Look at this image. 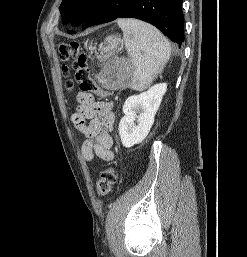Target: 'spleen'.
<instances>
[{"label":"spleen","mask_w":247,"mask_h":257,"mask_svg":"<svg viewBox=\"0 0 247 257\" xmlns=\"http://www.w3.org/2000/svg\"><path fill=\"white\" fill-rule=\"evenodd\" d=\"M117 23L134 69L131 86L143 89L163 70L171 55V45L148 23L131 18H120Z\"/></svg>","instance_id":"3e777b00"}]
</instances>
